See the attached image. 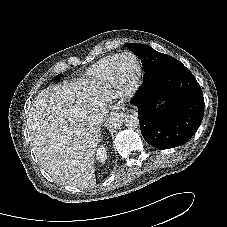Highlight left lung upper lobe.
I'll return each instance as SVG.
<instances>
[{
    "label": "left lung upper lobe",
    "mask_w": 227,
    "mask_h": 227,
    "mask_svg": "<svg viewBox=\"0 0 227 227\" xmlns=\"http://www.w3.org/2000/svg\"><path fill=\"white\" fill-rule=\"evenodd\" d=\"M125 46L136 54L137 51L139 49H141L144 45L137 44V43H127V44H125ZM181 64L182 63L179 62L177 59H175L171 56H168L166 54L158 52V59L150 66L143 67L144 72H145L144 75L145 76L153 75V74L159 73L160 71H162L164 69L173 68V67L179 66Z\"/></svg>",
    "instance_id": "1"
}]
</instances>
